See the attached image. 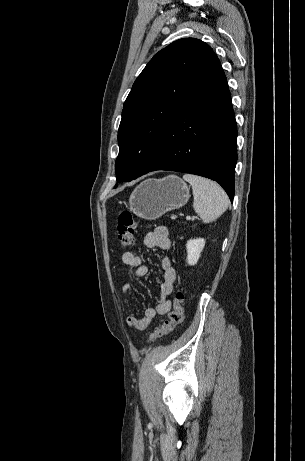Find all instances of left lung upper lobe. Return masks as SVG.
<instances>
[{"mask_svg":"<svg viewBox=\"0 0 305 461\" xmlns=\"http://www.w3.org/2000/svg\"><path fill=\"white\" fill-rule=\"evenodd\" d=\"M194 38L179 39L154 55L133 84L118 131V181L146 174L155 162L165 128L217 60Z\"/></svg>","mask_w":305,"mask_h":461,"instance_id":"5c2ea615","label":"left lung upper lobe"}]
</instances>
